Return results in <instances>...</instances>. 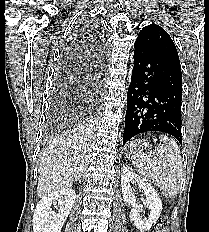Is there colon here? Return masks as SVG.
<instances>
[{"mask_svg":"<svg viewBox=\"0 0 209 232\" xmlns=\"http://www.w3.org/2000/svg\"><path fill=\"white\" fill-rule=\"evenodd\" d=\"M169 224V218L167 216H162L156 223V231L155 232H166V227Z\"/></svg>","mask_w":209,"mask_h":232,"instance_id":"5ec220e1","label":"colon"}]
</instances>
